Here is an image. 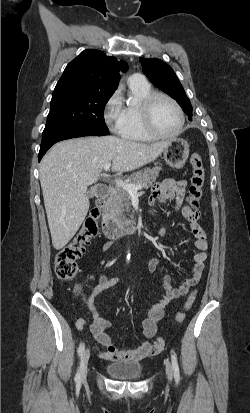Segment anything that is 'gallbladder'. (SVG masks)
<instances>
[{
  "label": "gallbladder",
  "instance_id": "bac80fb5",
  "mask_svg": "<svg viewBox=\"0 0 250 413\" xmlns=\"http://www.w3.org/2000/svg\"><path fill=\"white\" fill-rule=\"evenodd\" d=\"M93 195H94V194H93V191H91V192H90V196H93Z\"/></svg>",
  "mask_w": 250,
  "mask_h": 413
}]
</instances>
